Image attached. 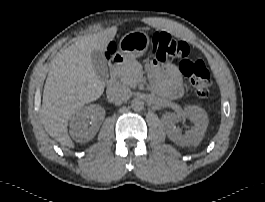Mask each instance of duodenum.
Segmentation results:
<instances>
[{"label": "duodenum", "mask_w": 265, "mask_h": 202, "mask_svg": "<svg viewBox=\"0 0 265 202\" xmlns=\"http://www.w3.org/2000/svg\"><path fill=\"white\" fill-rule=\"evenodd\" d=\"M124 57L121 54H115L109 63V74H108V82L112 83L118 73L119 66L123 63Z\"/></svg>", "instance_id": "duodenum-1"}]
</instances>
